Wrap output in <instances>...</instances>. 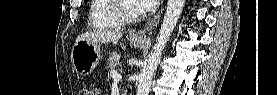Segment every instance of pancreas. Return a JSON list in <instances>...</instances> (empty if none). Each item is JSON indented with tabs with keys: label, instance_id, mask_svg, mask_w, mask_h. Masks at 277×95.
Returning <instances> with one entry per match:
<instances>
[{
	"label": "pancreas",
	"instance_id": "obj_1",
	"mask_svg": "<svg viewBox=\"0 0 277 95\" xmlns=\"http://www.w3.org/2000/svg\"><path fill=\"white\" fill-rule=\"evenodd\" d=\"M120 64V55L117 53H114L110 56L108 59V68L112 72L118 65Z\"/></svg>",
	"mask_w": 277,
	"mask_h": 95
}]
</instances>
